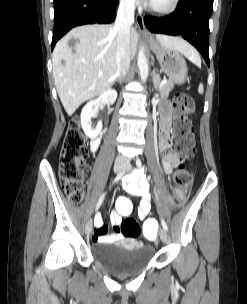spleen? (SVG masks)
<instances>
[{
    "label": "spleen",
    "instance_id": "spleen-1",
    "mask_svg": "<svg viewBox=\"0 0 247 304\" xmlns=\"http://www.w3.org/2000/svg\"><path fill=\"white\" fill-rule=\"evenodd\" d=\"M188 58L190 59V61H192V62H193L195 65H197L198 67L201 66V59H200V57H199L198 54H197V55H196V54H191V55H189ZM198 92H199L200 94H203V93H204V87H203V84H202V83L199 85Z\"/></svg>",
    "mask_w": 247,
    "mask_h": 304
}]
</instances>
